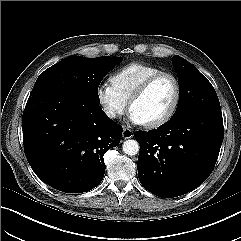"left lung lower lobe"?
I'll return each mask as SVG.
<instances>
[{"label": "left lung lower lobe", "mask_w": 241, "mask_h": 241, "mask_svg": "<svg viewBox=\"0 0 241 241\" xmlns=\"http://www.w3.org/2000/svg\"><path fill=\"white\" fill-rule=\"evenodd\" d=\"M221 108L197 107L175 114L156 130L137 131L138 176L151 193L177 197L211 174L223 141Z\"/></svg>", "instance_id": "1"}]
</instances>
